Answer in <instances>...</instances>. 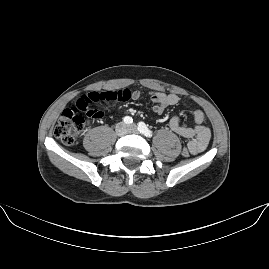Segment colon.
I'll return each instance as SVG.
<instances>
[{"label": "colon", "instance_id": "colon-1", "mask_svg": "<svg viewBox=\"0 0 269 269\" xmlns=\"http://www.w3.org/2000/svg\"><path fill=\"white\" fill-rule=\"evenodd\" d=\"M130 93L127 90L114 92H105L97 95L95 93H83L76 106L64 110L54 128V134L58 140L67 145H72L77 138L95 121L101 118L102 111L97 107H103L105 101H114L118 99L129 98ZM86 112V117L81 112ZM180 155L189 156V150L182 147L179 150Z\"/></svg>", "mask_w": 269, "mask_h": 269}]
</instances>
